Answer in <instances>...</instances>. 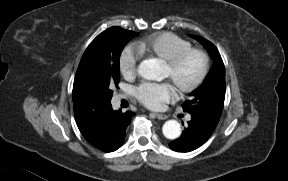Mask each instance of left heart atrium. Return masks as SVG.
Segmentation results:
<instances>
[{"label": "left heart atrium", "instance_id": "1", "mask_svg": "<svg viewBox=\"0 0 288 181\" xmlns=\"http://www.w3.org/2000/svg\"><path fill=\"white\" fill-rule=\"evenodd\" d=\"M136 98L143 105L150 109H160L163 105L176 96V92L172 84L169 82H149L145 81L134 89Z\"/></svg>", "mask_w": 288, "mask_h": 181}]
</instances>
